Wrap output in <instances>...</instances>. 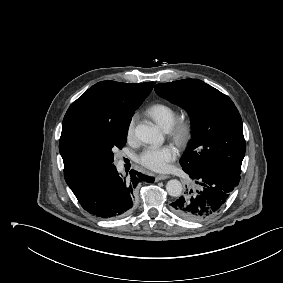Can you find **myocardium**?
<instances>
[{"mask_svg": "<svg viewBox=\"0 0 283 283\" xmlns=\"http://www.w3.org/2000/svg\"><path fill=\"white\" fill-rule=\"evenodd\" d=\"M192 135V123L186 118H177L169 129L170 138L179 146L188 143Z\"/></svg>", "mask_w": 283, "mask_h": 283, "instance_id": "myocardium-1", "label": "myocardium"}]
</instances>
